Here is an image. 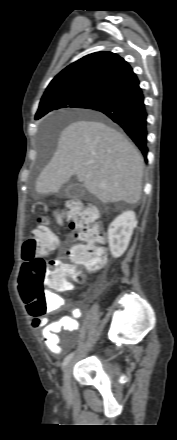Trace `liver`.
Listing matches in <instances>:
<instances>
[{
	"label": "liver",
	"mask_w": 177,
	"mask_h": 440,
	"mask_svg": "<svg viewBox=\"0 0 177 440\" xmlns=\"http://www.w3.org/2000/svg\"><path fill=\"white\" fill-rule=\"evenodd\" d=\"M143 168V158L123 134L100 121L79 120L61 132L51 161L36 181V191L57 193L77 175L104 203L135 204L141 197Z\"/></svg>",
	"instance_id": "liver-1"
}]
</instances>
